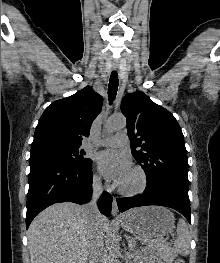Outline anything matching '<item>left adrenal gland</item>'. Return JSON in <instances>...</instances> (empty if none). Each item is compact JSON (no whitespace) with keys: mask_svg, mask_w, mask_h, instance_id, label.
Wrapping results in <instances>:
<instances>
[{"mask_svg":"<svg viewBox=\"0 0 220 263\" xmlns=\"http://www.w3.org/2000/svg\"><path fill=\"white\" fill-rule=\"evenodd\" d=\"M127 242H128V248L130 251H134L135 250V246H136V242L133 239H129L127 238Z\"/></svg>","mask_w":220,"mask_h":263,"instance_id":"left-adrenal-gland-1","label":"left adrenal gland"}]
</instances>
